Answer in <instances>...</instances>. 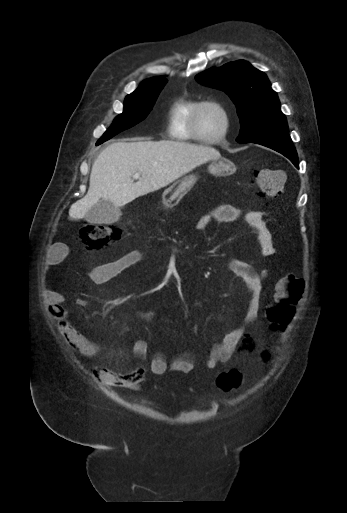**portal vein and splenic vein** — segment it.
Segmentation results:
<instances>
[{
	"label": "portal vein and splenic vein",
	"instance_id": "portal-vein-and-splenic-vein-1",
	"mask_svg": "<svg viewBox=\"0 0 347 513\" xmlns=\"http://www.w3.org/2000/svg\"><path fill=\"white\" fill-rule=\"evenodd\" d=\"M134 178H140L141 177V174L140 173H136L133 175Z\"/></svg>",
	"mask_w": 347,
	"mask_h": 513
}]
</instances>
